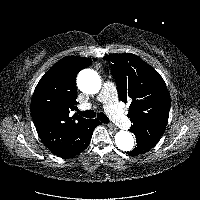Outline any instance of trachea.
Segmentation results:
<instances>
[{
	"label": "trachea",
	"mask_w": 200,
	"mask_h": 200,
	"mask_svg": "<svg viewBox=\"0 0 200 200\" xmlns=\"http://www.w3.org/2000/svg\"><path fill=\"white\" fill-rule=\"evenodd\" d=\"M79 114L82 115L83 117L86 118H94L96 117V112L94 110H86L84 112H80ZM97 118L102 122V123H109V118L104 114V113H98Z\"/></svg>",
	"instance_id": "trachea-1"
}]
</instances>
